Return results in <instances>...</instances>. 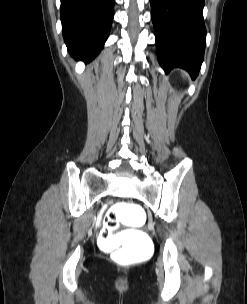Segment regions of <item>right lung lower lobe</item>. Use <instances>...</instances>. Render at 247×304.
Masks as SVG:
<instances>
[{"mask_svg":"<svg viewBox=\"0 0 247 304\" xmlns=\"http://www.w3.org/2000/svg\"><path fill=\"white\" fill-rule=\"evenodd\" d=\"M115 0H61L62 31L76 60H93L108 38Z\"/></svg>","mask_w":247,"mask_h":304,"instance_id":"1","label":"right lung lower lobe"}]
</instances>
